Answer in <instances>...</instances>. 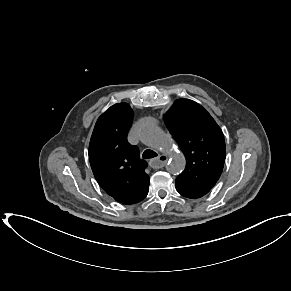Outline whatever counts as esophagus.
Masks as SVG:
<instances>
[{
  "instance_id": "obj_1",
  "label": "esophagus",
  "mask_w": 291,
  "mask_h": 291,
  "mask_svg": "<svg viewBox=\"0 0 291 291\" xmlns=\"http://www.w3.org/2000/svg\"><path fill=\"white\" fill-rule=\"evenodd\" d=\"M167 161L168 157L164 154H161L150 161V166L154 169L162 168L166 165Z\"/></svg>"
}]
</instances>
